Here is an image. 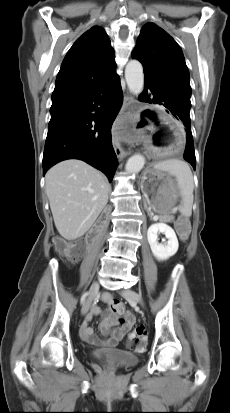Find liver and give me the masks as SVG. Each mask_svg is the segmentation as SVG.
Returning a JSON list of instances; mask_svg holds the SVG:
<instances>
[{"mask_svg":"<svg viewBox=\"0 0 230 413\" xmlns=\"http://www.w3.org/2000/svg\"><path fill=\"white\" fill-rule=\"evenodd\" d=\"M55 226L66 240L83 236L108 202L105 176L81 160H66L45 176Z\"/></svg>","mask_w":230,"mask_h":413,"instance_id":"1","label":"liver"}]
</instances>
